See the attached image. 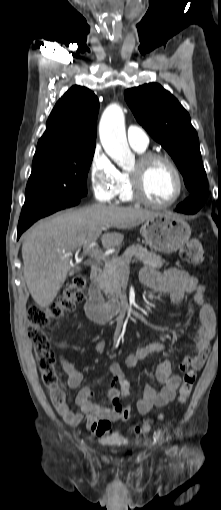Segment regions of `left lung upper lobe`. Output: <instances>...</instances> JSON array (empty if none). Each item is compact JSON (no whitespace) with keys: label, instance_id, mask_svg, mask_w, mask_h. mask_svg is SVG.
I'll use <instances>...</instances> for the list:
<instances>
[{"label":"left lung upper lobe","instance_id":"5c2ea615","mask_svg":"<svg viewBox=\"0 0 221 510\" xmlns=\"http://www.w3.org/2000/svg\"><path fill=\"white\" fill-rule=\"evenodd\" d=\"M125 100L137 121L176 163L191 193L185 201H193L201 208L209 189L198 135L188 112L170 92L157 83L127 89Z\"/></svg>","mask_w":221,"mask_h":510}]
</instances>
